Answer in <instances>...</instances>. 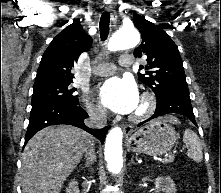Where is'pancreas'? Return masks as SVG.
Returning <instances> with one entry per match:
<instances>
[{
	"instance_id": "pancreas-1",
	"label": "pancreas",
	"mask_w": 221,
	"mask_h": 193,
	"mask_svg": "<svg viewBox=\"0 0 221 193\" xmlns=\"http://www.w3.org/2000/svg\"><path fill=\"white\" fill-rule=\"evenodd\" d=\"M174 161V158L171 157V158H168L166 161H164V163H170V162H173Z\"/></svg>"
}]
</instances>
